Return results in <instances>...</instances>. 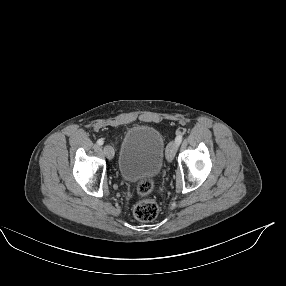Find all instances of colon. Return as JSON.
<instances>
[{
  "label": "colon",
  "instance_id": "5ec220e1",
  "mask_svg": "<svg viewBox=\"0 0 286 286\" xmlns=\"http://www.w3.org/2000/svg\"><path fill=\"white\" fill-rule=\"evenodd\" d=\"M153 183L151 180L139 182L137 190L140 195H147L152 191ZM159 207L153 199H143L137 202L133 208L134 216L141 221H151L158 215Z\"/></svg>",
  "mask_w": 286,
  "mask_h": 286
}]
</instances>
